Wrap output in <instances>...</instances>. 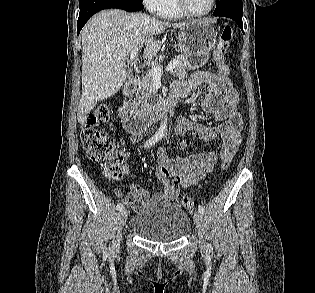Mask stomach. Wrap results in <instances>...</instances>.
Instances as JSON below:
<instances>
[{
  "label": "stomach",
  "mask_w": 315,
  "mask_h": 293,
  "mask_svg": "<svg viewBox=\"0 0 315 293\" xmlns=\"http://www.w3.org/2000/svg\"><path fill=\"white\" fill-rule=\"evenodd\" d=\"M216 43L217 32L205 21H191L178 33V49L188 58L189 69L202 67Z\"/></svg>",
  "instance_id": "0dacf381"
}]
</instances>
